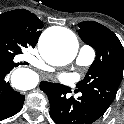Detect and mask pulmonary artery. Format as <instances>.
I'll list each match as a JSON object with an SVG mask.
<instances>
[{"instance_id": "obj_1", "label": "pulmonary artery", "mask_w": 124, "mask_h": 124, "mask_svg": "<svg viewBox=\"0 0 124 124\" xmlns=\"http://www.w3.org/2000/svg\"><path fill=\"white\" fill-rule=\"evenodd\" d=\"M95 56H96L95 51L91 46L83 45L80 47L78 55L76 57V64L80 66H88L94 61ZM24 59L33 66H37L44 70L50 69L49 67H47L42 62L35 59L34 57L25 56Z\"/></svg>"}]
</instances>
